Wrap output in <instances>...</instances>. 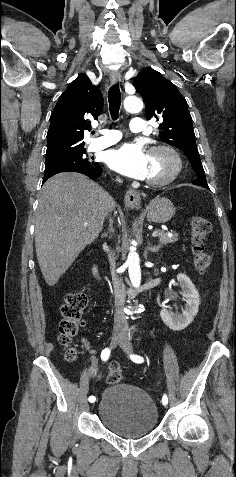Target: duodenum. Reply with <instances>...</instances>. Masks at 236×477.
<instances>
[{"mask_svg": "<svg viewBox=\"0 0 236 477\" xmlns=\"http://www.w3.org/2000/svg\"><path fill=\"white\" fill-rule=\"evenodd\" d=\"M93 274L100 280H103L100 268L97 264H94L92 267Z\"/></svg>", "mask_w": 236, "mask_h": 477, "instance_id": "1", "label": "duodenum"}]
</instances>
